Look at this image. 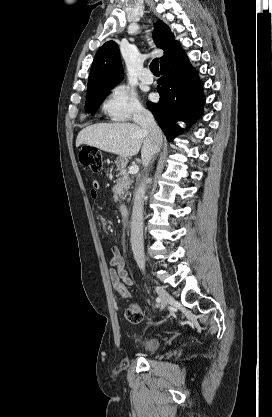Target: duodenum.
<instances>
[{"mask_svg":"<svg viewBox=\"0 0 272 417\" xmlns=\"http://www.w3.org/2000/svg\"><path fill=\"white\" fill-rule=\"evenodd\" d=\"M120 213L124 219H128L129 217V208L126 204L120 205Z\"/></svg>","mask_w":272,"mask_h":417,"instance_id":"obj_1","label":"duodenum"}]
</instances>
